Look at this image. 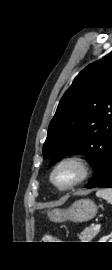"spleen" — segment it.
I'll return each instance as SVG.
<instances>
[{
    "label": "spleen",
    "instance_id": "1",
    "mask_svg": "<svg viewBox=\"0 0 112 270\" xmlns=\"http://www.w3.org/2000/svg\"><path fill=\"white\" fill-rule=\"evenodd\" d=\"M96 196L101 197L112 204V188L100 189L96 192Z\"/></svg>",
    "mask_w": 112,
    "mask_h": 270
}]
</instances>
